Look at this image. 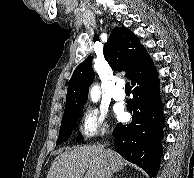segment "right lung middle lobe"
I'll return each mask as SVG.
<instances>
[{"label": "right lung middle lobe", "mask_w": 194, "mask_h": 178, "mask_svg": "<svg viewBox=\"0 0 194 178\" xmlns=\"http://www.w3.org/2000/svg\"><path fill=\"white\" fill-rule=\"evenodd\" d=\"M82 109L83 108L64 113L56 145L63 143L71 136L72 129L80 117Z\"/></svg>", "instance_id": "1"}]
</instances>
